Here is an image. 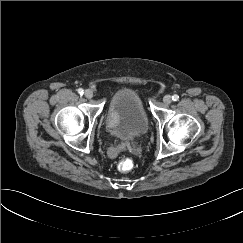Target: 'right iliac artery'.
I'll return each instance as SVG.
<instances>
[{
	"label": "right iliac artery",
	"mask_w": 243,
	"mask_h": 243,
	"mask_svg": "<svg viewBox=\"0 0 243 243\" xmlns=\"http://www.w3.org/2000/svg\"><path fill=\"white\" fill-rule=\"evenodd\" d=\"M78 93H79L80 95H83V93H84L83 89H82V88H79V89H78Z\"/></svg>",
	"instance_id": "obj_1"
}]
</instances>
